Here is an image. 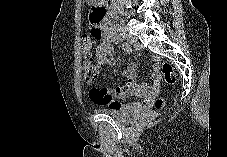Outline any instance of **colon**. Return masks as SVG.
I'll return each mask as SVG.
<instances>
[{
    "label": "colon",
    "mask_w": 227,
    "mask_h": 157,
    "mask_svg": "<svg viewBox=\"0 0 227 157\" xmlns=\"http://www.w3.org/2000/svg\"><path fill=\"white\" fill-rule=\"evenodd\" d=\"M90 16H98L95 9H92ZM100 32H93L92 37L89 35L82 36V45L86 53V59L84 61V80L88 85H92L100 72L99 65L91 57V50L94 45V39H99ZM162 72L165 82L168 85L175 83V75L171 64L165 62L162 65ZM166 100L164 98H158L154 101V107L161 109L165 106Z\"/></svg>",
    "instance_id": "obj_1"
}]
</instances>
